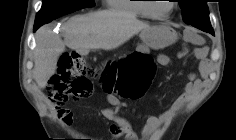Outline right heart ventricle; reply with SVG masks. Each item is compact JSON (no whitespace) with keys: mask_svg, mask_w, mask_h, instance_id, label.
Returning <instances> with one entry per match:
<instances>
[{"mask_svg":"<svg viewBox=\"0 0 236 140\" xmlns=\"http://www.w3.org/2000/svg\"><path fill=\"white\" fill-rule=\"evenodd\" d=\"M144 0H109L110 9L117 12L129 13L135 16H149Z\"/></svg>","mask_w":236,"mask_h":140,"instance_id":"right-heart-ventricle-1","label":"right heart ventricle"}]
</instances>
